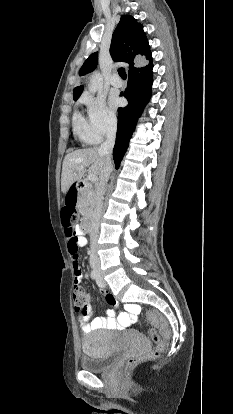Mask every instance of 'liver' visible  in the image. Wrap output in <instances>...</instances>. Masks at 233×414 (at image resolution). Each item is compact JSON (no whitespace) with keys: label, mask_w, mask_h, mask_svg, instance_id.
<instances>
[{"label":"liver","mask_w":233,"mask_h":414,"mask_svg":"<svg viewBox=\"0 0 233 414\" xmlns=\"http://www.w3.org/2000/svg\"><path fill=\"white\" fill-rule=\"evenodd\" d=\"M105 163L106 157L99 152L97 147L79 149L67 154L62 166V192L66 194L71 185L82 178L87 167L89 174L100 176Z\"/></svg>","instance_id":"1"}]
</instances>
